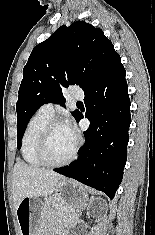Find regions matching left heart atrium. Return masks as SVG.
<instances>
[{"instance_id": "1", "label": "left heart atrium", "mask_w": 155, "mask_h": 235, "mask_svg": "<svg viewBox=\"0 0 155 235\" xmlns=\"http://www.w3.org/2000/svg\"><path fill=\"white\" fill-rule=\"evenodd\" d=\"M65 125L68 128V130L70 131V133L72 134V136L76 139L77 132H76V129H75L74 125L72 124V122L68 121Z\"/></svg>"}]
</instances>
